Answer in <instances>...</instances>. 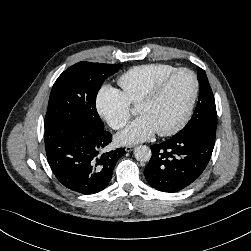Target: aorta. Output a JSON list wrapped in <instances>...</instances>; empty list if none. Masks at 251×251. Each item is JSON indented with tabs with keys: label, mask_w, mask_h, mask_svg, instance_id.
Masks as SVG:
<instances>
[{
	"label": "aorta",
	"mask_w": 251,
	"mask_h": 251,
	"mask_svg": "<svg viewBox=\"0 0 251 251\" xmlns=\"http://www.w3.org/2000/svg\"><path fill=\"white\" fill-rule=\"evenodd\" d=\"M151 155V149L146 145H140L134 150V156L136 160L141 162H148L151 158Z\"/></svg>",
	"instance_id": "obj_1"
}]
</instances>
